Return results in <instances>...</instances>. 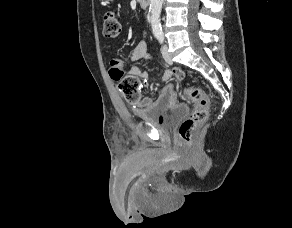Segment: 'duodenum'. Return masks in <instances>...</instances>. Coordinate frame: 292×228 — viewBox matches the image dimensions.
I'll use <instances>...</instances> for the list:
<instances>
[{"label": "duodenum", "instance_id": "410a0bca", "mask_svg": "<svg viewBox=\"0 0 292 228\" xmlns=\"http://www.w3.org/2000/svg\"><path fill=\"white\" fill-rule=\"evenodd\" d=\"M142 8H147L150 4V0H138Z\"/></svg>", "mask_w": 292, "mask_h": 228}]
</instances>
